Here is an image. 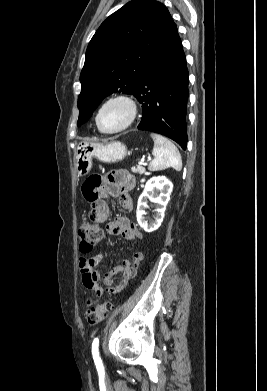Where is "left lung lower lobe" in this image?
Segmentation results:
<instances>
[{
  "instance_id": "1",
  "label": "left lung lower lobe",
  "mask_w": 267,
  "mask_h": 391,
  "mask_svg": "<svg viewBox=\"0 0 267 391\" xmlns=\"http://www.w3.org/2000/svg\"><path fill=\"white\" fill-rule=\"evenodd\" d=\"M142 103L138 129L187 143L188 69L178 32L151 62L133 94Z\"/></svg>"
}]
</instances>
